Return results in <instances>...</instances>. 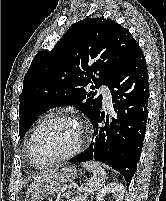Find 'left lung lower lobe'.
<instances>
[{
	"label": "left lung lower lobe",
	"instance_id": "obj_1",
	"mask_svg": "<svg viewBox=\"0 0 166 201\" xmlns=\"http://www.w3.org/2000/svg\"><path fill=\"white\" fill-rule=\"evenodd\" d=\"M116 117L99 112L91 120L94 128L89 148L70 160L71 163L96 160L117 170L127 186L137 169L148 116V74L146 60L137 45L120 72L109 85Z\"/></svg>",
	"mask_w": 166,
	"mask_h": 201
}]
</instances>
